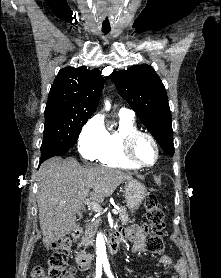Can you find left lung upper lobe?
I'll return each instance as SVG.
<instances>
[{"label": "left lung upper lobe", "mask_w": 221, "mask_h": 278, "mask_svg": "<svg viewBox=\"0 0 221 278\" xmlns=\"http://www.w3.org/2000/svg\"><path fill=\"white\" fill-rule=\"evenodd\" d=\"M116 88L150 131L158 144L174 154L171 112L162 81L147 64L134 65L113 74Z\"/></svg>", "instance_id": "obj_1"}]
</instances>
